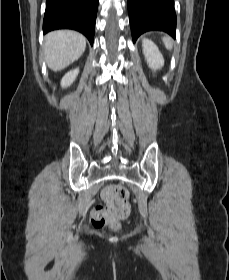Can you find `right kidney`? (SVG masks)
Masks as SVG:
<instances>
[{"mask_svg":"<svg viewBox=\"0 0 229 280\" xmlns=\"http://www.w3.org/2000/svg\"><path fill=\"white\" fill-rule=\"evenodd\" d=\"M78 73H79V69H74L66 73L61 80V86L63 88L70 86L73 83V81L76 79Z\"/></svg>","mask_w":229,"mask_h":280,"instance_id":"ca27d5eb","label":"right kidney"}]
</instances>
